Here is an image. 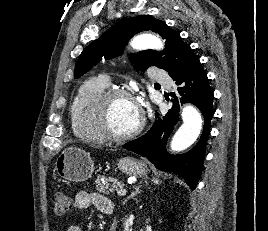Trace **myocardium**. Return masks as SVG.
I'll return each instance as SVG.
<instances>
[{"label": "myocardium", "mask_w": 268, "mask_h": 231, "mask_svg": "<svg viewBox=\"0 0 268 231\" xmlns=\"http://www.w3.org/2000/svg\"><path fill=\"white\" fill-rule=\"evenodd\" d=\"M118 98H129L133 100L141 111L139 125L127 133H117L110 125L109 110L112 103ZM94 121L99 134L107 140L121 142L138 136L144 129L146 118L141 106L133 93L123 88H108L95 101Z\"/></svg>", "instance_id": "f54148a6"}]
</instances>
